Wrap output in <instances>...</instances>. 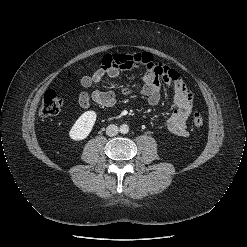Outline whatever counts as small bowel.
Returning <instances> with one entry per match:
<instances>
[{"mask_svg":"<svg viewBox=\"0 0 247 247\" xmlns=\"http://www.w3.org/2000/svg\"><path fill=\"white\" fill-rule=\"evenodd\" d=\"M139 66L146 69L142 77L140 93L147 98L148 105L155 106L160 101L161 81L174 87L175 110L166 120V127L175 135L187 136V121L192 110V92L176 70L154 61L148 52L105 55L101 66L92 75L81 78V84L87 91L82 92L78 97L80 107L88 108L91 101L104 107H112L116 103L115 92L92 90V86L103 82L106 77L119 79L123 71ZM122 93L130 95L132 90L124 87Z\"/></svg>","mask_w":247,"mask_h":247,"instance_id":"1","label":"small bowel"}]
</instances>
